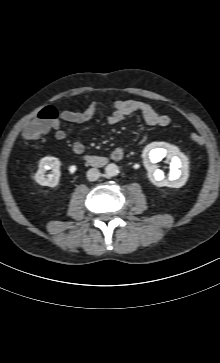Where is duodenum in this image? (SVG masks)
I'll list each match as a JSON object with an SVG mask.
<instances>
[{"label": "duodenum", "mask_w": 220, "mask_h": 363, "mask_svg": "<svg viewBox=\"0 0 220 363\" xmlns=\"http://www.w3.org/2000/svg\"><path fill=\"white\" fill-rule=\"evenodd\" d=\"M123 157V152H118L114 155H112L113 160H120ZM84 160L93 165L94 167H103L107 164L108 160L105 157L99 156V155H85Z\"/></svg>", "instance_id": "410a0bca"}]
</instances>
